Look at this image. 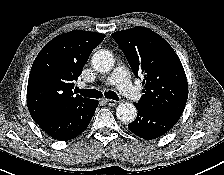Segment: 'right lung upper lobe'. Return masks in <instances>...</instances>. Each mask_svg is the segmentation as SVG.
<instances>
[{"label":"right lung upper lobe","instance_id":"obj_1","mask_svg":"<svg viewBox=\"0 0 224 175\" xmlns=\"http://www.w3.org/2000/svg\"><path fill=\"white\" fill-rule=\"evenodd\" d=\"M104 38V34L75 30L44 46L33 62L27 86V105L34 120L91 100L74 95L72 89L91 52Z\"/></svg>","mask_w":224,"mask_h":175}]
</instances>
